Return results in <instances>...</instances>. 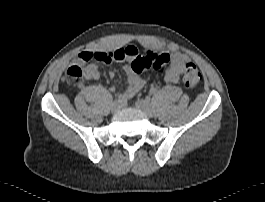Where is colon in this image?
<instances>
[{
  "label": "colon",
  "mask_w": 265,
  "mask_h": 202,
  "mask_svg": "<svg viewBox=\"0 0 265 202\" xmlns=\"http://www.w3.org/2000/svg\"><path fill=\"white\" fill-rule=\"evenodd\" d=\"M131 52H126L124 48L117 51L108 52L106 54L95 55V58L103 62L121 61L128 56ZM90 58V56H89ZM170 61V57L166 53L147 52L141 56H135L131 68L135 73H142L148 70L162 71L165 69ZM85 78L84 68L82 64L70 65L65 72L64 79L72 86H79L83 83ZM182 82L187 88H194L202 82V74L198 68L189 62L185 65L182 75Z\"/></svg>",
  "instance_id": "5ec220e1"
}]
</instances>
